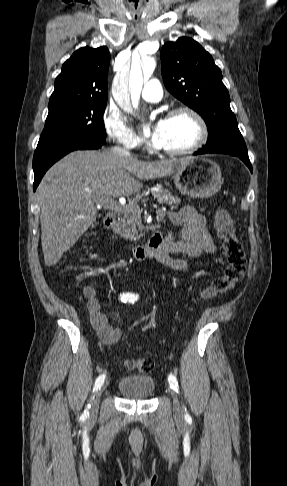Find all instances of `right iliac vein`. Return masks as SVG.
Listing matches in <instances>:
<instances>
[{"label": "right iliac vein", "instance_id": "obj_1", "mask_svg": "<svg viewBox=\"0 0 287 486\" xmlns=\"http://www.w3.org/2000/svg\"><path fill=\"white\" fill-rule=\"evenodd\" d=\"M105 388H106V385H102L96 393V397H95V400L93 402V408H92L93 413L98 412L100 396H101V394H102V392L104 391Z\"/></svg>", "mask_w": 287, "mask_h": 486}]
</instances>
